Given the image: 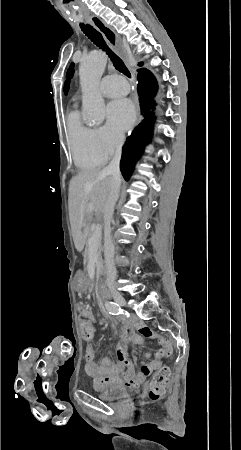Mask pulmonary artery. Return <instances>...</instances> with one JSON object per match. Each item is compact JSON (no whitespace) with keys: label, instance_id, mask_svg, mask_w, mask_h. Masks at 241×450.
I'll return each mask as SVG.
<instances>
[{"label":"pulmonary artery","instance_id":"pulmonary-artery-1","mask_svg":"<svg viewBox=\"0 0 241 450\" xmlns=\"http://www.w3.org/2000/svg\"><path fill=\"white\" fill-rule=\"evenodd\" d=\"M130 90V85L126 78H121L119 74H104L100 85V92L104 102H117L118 96Z\"/></svg>","mask_w":241,"mask_h":450}]
</instances>
